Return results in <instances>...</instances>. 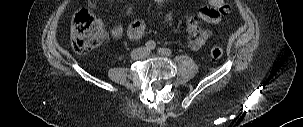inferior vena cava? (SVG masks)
<instances>
[{"instance_id":"inferior-vena-cava-1","label":"inferior vena cava","mask_w":303,"mask_h":127,"mask_svg":"<svg viewBox=\"0 0 303 127\" xmlns=\"http://www.w3.org/2000/svg\"><path fill=\"white\" fill-rule=\"evenodd\" d=\"M139 53V49H134L132 52H131V57L133 58V59H140V58H143L144 57V55H140V54H138Z\"/></svg>"}]
</instances>
